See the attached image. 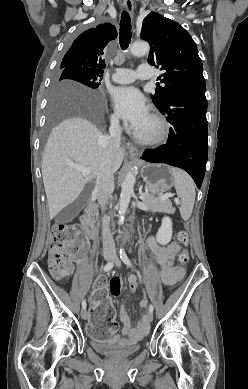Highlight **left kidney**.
<instances>
[{"mask_svg":"<svg viewBox=\"0 0 248 389\" xmlns=\"http://www.w3.org/2000/svg\"><path fill=\"white\" fill-rule=\"evenodd\" d=\"M172 221L169 217L165 216L162 219L161 227L156 234V240L161 245H166L172 238Z\"/></svg>","mask_w":248,"mask_h":389,"instance_id":"obj_1","label":"left kidney"}]
</instances>
